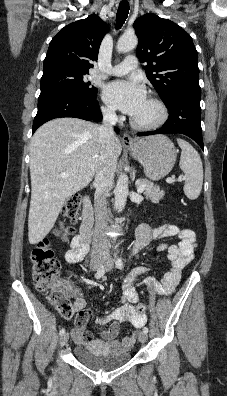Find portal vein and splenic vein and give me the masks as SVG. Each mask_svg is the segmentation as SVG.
Here are the masks:
<instances>
[{"label": "portal vein and splenic vein", "instance_id": "portal-vein-and-splenic-vein-1", "mask_svg": "<svg viewBox=\"0 0 227 396\" xmlns=\"http://www.w3.org/2000/svg\"><path fill=\"white\" fill-rule=\"evenodd\" d=\"M62 176L65 178L68 177L67 174H63ZM181 180H182L181 178L178 179V181H181ZM174 181H175V179L170 180V182H174ZM145 187H146L145 185H143V184L139 185V183H137V192L142 193L145 190Z\"/></svg>", "mask_w": 227, "mask_h": 396}]
</instances>
